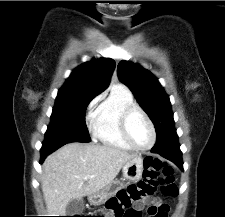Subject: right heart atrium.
<instances>
[{
	"label": "right heart atrium",
	"instance_id": "d8ad5b80",
	"mask_svg": "<svg viewBox=\"0 0 225 217\" xmlns=\"http://www.w3.org/2000/svg\"><path fill=\"white\" fill-rule=\"evenodd\" d=\"M99 100H100V96H98V97H96L95 99H93V100L90 102V104L88 105V110L91 111V110L95 107V105L97 104V102H98ZM89 122H90V126H93V119H92V118H90Z\"/></svg>",
	"mask_w": 225,
	"mask_h": 217
}]
</instances>
